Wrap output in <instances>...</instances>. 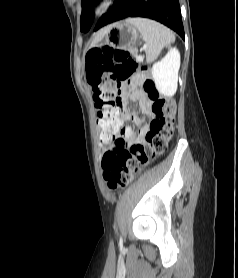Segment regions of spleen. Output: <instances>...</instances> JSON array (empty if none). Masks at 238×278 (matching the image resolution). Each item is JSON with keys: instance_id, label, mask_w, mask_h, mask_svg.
Wrapping results in <instances>:
<instances>
[{"instance_id": "obj_1", "label": "spleen", "mask_w": 238, "mask_h": 278, "mask_svg": "<svg viewBox=\"0 0 238 278\" xmlns=\"http://www.w3.org/2000/svg\"><path fill=\"white\" fill-rule=\"evenodd\" d=\"M127 21L141 33L148 63L157 59L162 49L175 40L173 33L168 28L155 21L145 18H129Z\"/></svg>"}]
</instances>
